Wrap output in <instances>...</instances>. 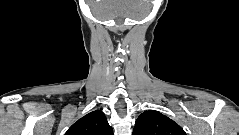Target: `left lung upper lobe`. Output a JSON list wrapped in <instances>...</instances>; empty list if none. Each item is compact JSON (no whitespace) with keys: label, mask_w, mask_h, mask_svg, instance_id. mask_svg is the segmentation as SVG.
I'll list each match as a JSON object with an SVG mask.
<instances>
[{"label":"left lung upper lobe","mask_w":239,"mask_h":135,"mask_svg":"<svg viewBox=\"0 0 239 135\" xmlns=\"http://www.w3.org/2000/svg\"><path fill=\"white\" fill-rule=\"evenodd\" d=\"M133 135H186V133L167 116L155 110H148L136 120Z\"/></svg>","instance_id":"1"}]
</instances>
